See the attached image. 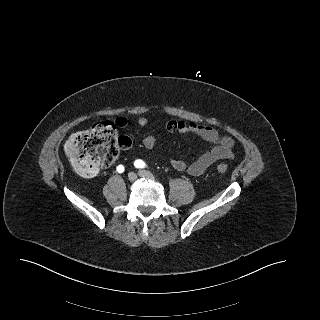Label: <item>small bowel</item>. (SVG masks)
<instances>
[{
	"mask_svg": "<svg viewBox=\"0 0 320 320\" xmlns=\"http://www.w3.org/2000/svg\"><path fill=\"white\" fill-rule=\"evenodd\" d=\"M137 122L139 126L144 127L148 121L145 117H141ZM116 124L123 127L126 125V120L118 118ZM166 129L170 133L193 134L208 143V149L192 163H187L179 159H171V166L177 171H186L192 176H199L216 161L232 159L234 156L233 139L230 136L221 135L216 129L210 126L201 125L192 121L170 120L166 124ZM156 142L157 137L155 135H147L143 139L144 147L149 150L154 148Z\"/></svg>",
	"mask_w": 320,
	"mask_h": 320,
	"instance_id": "1",
	"label": "small bowel"
}]
</instances>
